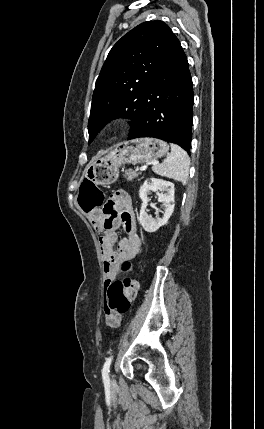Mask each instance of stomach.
<instances>
[{
    "mask_svg": "<svg viewBox=\"0 0 264 429\" xmlns=\"http://www.w3.org/2000/svg\"><path fill=\"white\" fill-rule=\"evenodd\" d=\"M168 150V144L156 138L124 141L115 145L104 156L92 160L85 170V177L97 185H109L117 180L122 164L151 162L166 155Z\"/></svg>",
    "mask_w": 264,
    "mask_h": 429,
    "instance_id": "1",
    "label": "stomach"
}]
</instances>
